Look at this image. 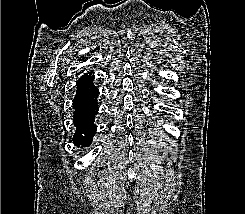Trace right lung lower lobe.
Here are the masks:
<instances>
[{"mask_svg":"<svg viewBox=\"0 0 245 214\" xmlns=\"http://www.w3.org/2000/svg\"><path fill=\"white\" fill-rule=\"evenodd\" d=\"M99 91L93 85V77L80 79L77 83V93L73 100L76 146H88L96 133L94 124L98 112L97 98Z\"/></svg>","mask_w":245,"mask_h":214,"instance_id":"right-lung-lower-lobe-1","label":"right lung lower lobe"}]
</instances>
